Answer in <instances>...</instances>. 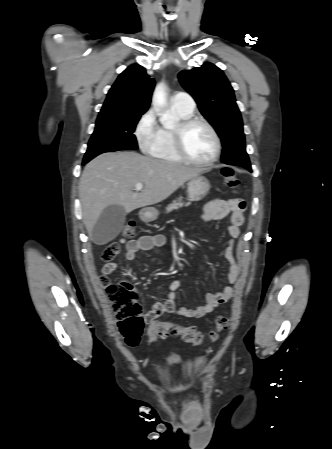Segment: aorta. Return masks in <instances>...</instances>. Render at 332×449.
<instances>
[{
    "mask_svg": "<svg viewBox=\"0 0 332 449\" xmlns=\"http://www.w3.org/2000/svg\"><path fill=\"white\" fill-rule=\"evenodd\" d=\"M153 102L157 106H163L166 102V93H165V85L160 83L156 86L154 94H153ZM161 122L163 124H167L170 121V117L168 115L161 116Z\"/></svg>",
    "mask_w": 332,
    "mask_h": 449,
    "instance_id": "1",
    "label": "aorta"
}]
</instances>
